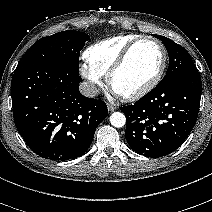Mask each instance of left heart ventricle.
Returning <instances> with one entry per match:
<instances>
[{
    "mask_svg": "<svg viewBox=\"0 0 212 212\" xmlns=\"http://www.w3.org/2000/svg\"><path fill=\"white\" fill-rule=\"evenodd\" d=\"M160 48L151 42L135 47L124 67L116 74L113 87L119 94H129L147 84L161 65Z\"/></svg>",
    "mask_w": 212,
    "mask_h": 212,
    "instance_id": "obj_1",
    "label": "left heart ventricle"
}]
</instances>
